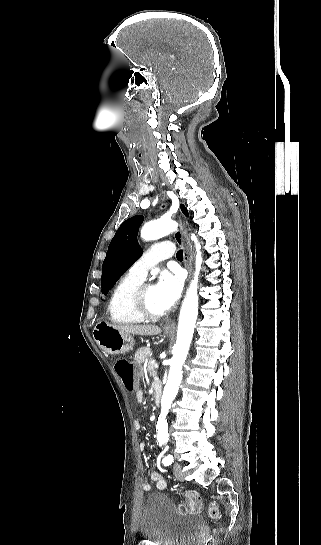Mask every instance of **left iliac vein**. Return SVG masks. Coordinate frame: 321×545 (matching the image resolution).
I'll list each match as a JSON object with an SVG mask.
<instances>
[{"mask_svg": "<svg viewBox=\"0 0 321 545\" xmlns=\"http://www.w3.org/2000/svg\"><path fill=\"white\" fill-rule=\"evenodd\" d=\"M173 468H174L175 477L178 480L183 481L184 480V474H183L181 465L175 464Z\"/></svg>", "mask_w": 321, "mask_h": 545, "instance_id": "4c4485c4", "label": "left iliac vein"}]
</instances>
